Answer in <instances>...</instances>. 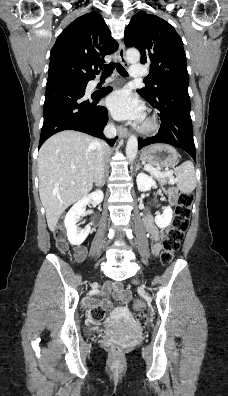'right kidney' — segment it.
<instances>
[{
  "label": "right kidney",
  "mask_w": 228,
  "mask_h": 396,
  "mask_svg": "<svg viewBox=\"0 0 228 396\" xmlns=\"http://www.w3.org/2000/svg\"><path fill=\"white\" fill-rule=\"evenodd\" d=\"M104 194L101 190H97L88 194L76 202L64 219V225L67 230V237L72 245L82 244L90 233V226L84 229H78L76 223L79 218L85 215L86 205L92 203L98 205L103 201Z\"/></svg>",
  "instance_id": "ca27d5eb"
}]
</instances>
